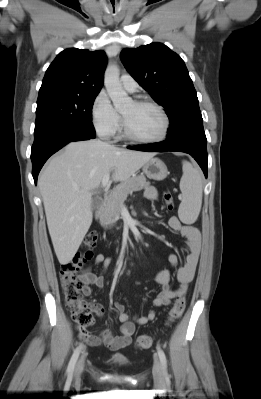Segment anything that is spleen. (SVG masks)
Wrapping results in <instances>:
<instances>
[{
	"mask_svg": "<svg viewBox=\"0 0 261 399\" xmlns=\"http://www.w3.org/2000/svg\"><path fill=\"white\" fill-rule=\"evenodd\" d=\"M183 175L180 180L182 201L178 216L183 223L193 224L200 213L202 205V174L191 163L183 161Z\"/></svg>",
	"mask_w": 261,
	"mask_h": 399,
	"instance_id": "spleen-1",
	"label": "spleen"
}]
</instances>
